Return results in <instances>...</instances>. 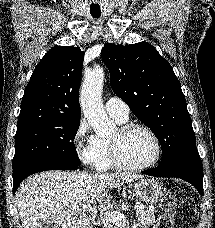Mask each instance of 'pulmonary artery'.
I'll return each instance as SVG.
<instances>
[{
    "label": "pulmonary artery",
    "mask_w": 215,
    "mask_h": 228,
    "mask_svg": "<svg viewBox=\"0 0 215 228\" xmlns=\"http://www.w3.org/2000/svg\"><path fill=\"white\" fill-rule=\"evenodd\" d=\"M105 108L111 116L121 120H127L129 117V107L122 99L115 97L108 99Z\"/></svg>",
    "instance_id": "e3ab8cb5"
}]
</instances>
